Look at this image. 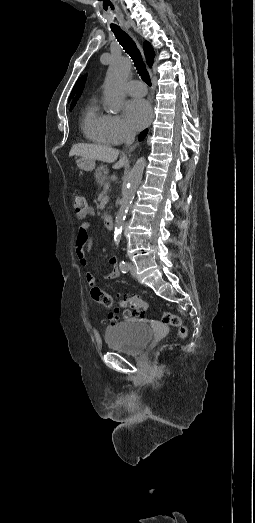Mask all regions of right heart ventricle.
<instances>
[{
	"label": "right heart ventricle",
	"instance_id": "obj_1",
	"mask_svg": "<svg viewBox=\"0 0 255 523\" xmlns=\"http://www.w3.org/2000/svg\"><path fill=\"white\" fill-rule=\"evenodd\" d=\"M83 134L87 140L97 145H113L119 140L112 124V116L105 113L96 101L86 109Z\"/></svg>",
	"mask_w": 255,
	"mask_h": 523
}]
</instances>
